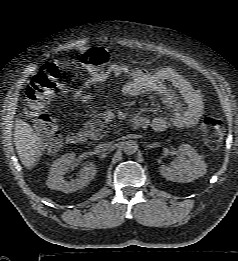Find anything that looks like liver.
<instances>
[{"label": "liver", "mask_w": 238, "mask_h": 261, "mask_svg": "<svg viewBox=\"0 0 238 261\" xmlns=\"http://www.w3.org/2000/svg\"><path fill=\"white\" fill-rule=\"evenodd\" d=\"M15 148L20 161L26 168H32L41 155V142L31 126L22 119H16L14 129Z\"/></svg>", "instance_id": "1"}]
</instances>
